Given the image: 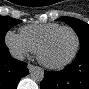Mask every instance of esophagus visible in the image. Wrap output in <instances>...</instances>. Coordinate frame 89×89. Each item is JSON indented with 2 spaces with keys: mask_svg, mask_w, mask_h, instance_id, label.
Listing matches in <instances>:
<instances>
[{
  "mask_svg": "<svg viewBox=\"0 0 89 89\" xmlns=\"http://www.w3.org/2000/svg\"><path fill=\"white\" fill-rule=\"evenodd\" d=\"M28 69H29V71H32V70H34L36 67L34 66V65H32V64H28Z\"/></svg>",
  "mask_w": 89,
  "mask_h": 89,
  "instance_id": "1",
  "label": "esophagus"
}]
</instances>
